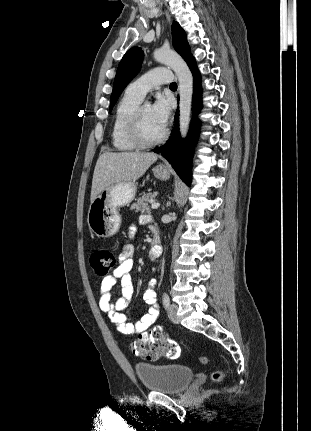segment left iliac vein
Returning a JSON list of instances; mask_svg holds the SVG:
<instances>
[{
    "label": "left iliac vein",
    "instance_id": "obj_1",
    "mask_svg": "<svg viewBox=\"0 0 311 431\" xmlns=\"http://www.w3.org/2000/svg\"><path fill=\"white\" fill-rule=\"evenodd\" d=\"M177 312H178V307L175 304L172 303L171 305H169L167 310L168 317L175 324H178L180 322Z\"/></svg>",
    "mask_w": 311,
    "mask_h": 431
}]
</instances>
